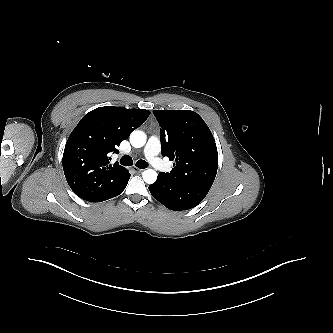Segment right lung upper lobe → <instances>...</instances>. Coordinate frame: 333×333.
I'll return each mask as SVG.
<instances>
[{
  "label": "right lung upper lobe",
  "mask_w": 333,
  "mask_h": 333,
  "mask_svg": "<svg viewBox=\"0 0 333 333\" xmlns=\"http://www.w3.org/2000/svg\"><path fill=\"white\" fill-rule=\"evenodd\" d=\"M150 115L145 109L106 106L87 113L70 134L63 153V170L73 192L90 202H102L126 182L128 170L109 154Z\"/></svg>",
  "instance_id": "1"
}]
</instances>
